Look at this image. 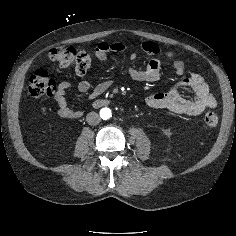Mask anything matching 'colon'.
<instances>
[{"label": "colon", "mask_w": 236, "mask_h": 236, "mask_svg": "<svg viewBox=\"0 0 236 236\" xmlns=\"http://www.w3.org/2000/svg\"><path fill=\"white\" fill-rule=\"evenodd\" d=\"M50 58L61 68L74 66L75 71L80 75L85 74L92 65L91 56L87 52L76 50L73 47L54 48L50 51ZM55 88V81L44 69L34 71L29 78L28 92L33 98L49 97L53 95ZM204 122L208 127H216L219 123V116L216 112H207Z\"/></svg>", "instance_id": "5ec220e1"}]
</instances>
